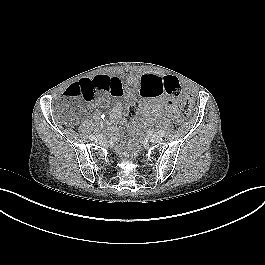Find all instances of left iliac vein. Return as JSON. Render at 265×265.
Masks as SVG:
<instances>
[{"mask_svg": "<svg viewBox=\"0 0 265 265\" xmlns=\"http://www.w3.org/2000/svg\"><path fill=\"white\" fill-rule=\"evenodd\" d=\"M162 140H163V138L160 135L154 134L151 136V141L153 143H160V142H162Z\"/></svg>", "mask_w": 265, "mask_h": 265, "instance_id": "left-iliac-vein-1", "label": "left iliac vein"}]
</instances>
